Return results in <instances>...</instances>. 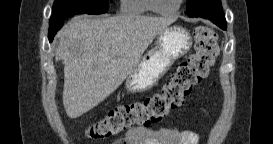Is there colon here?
<instances>
[{
	"instance_id": "5ec220e1",
	"label": "colon",
	"mask_w": 273,
	"mask_h": 144,
	"mask_svg": "<svg viewBox=\"0 0 273 144\" xmlns=\"http://www.w3.org/2000/svg\"><path fill=\"white\" fill-rule=\"evenodd\" d=\"M194 39V53L180 62L159 92L113 108L88 127L87 135L106 139L134 128H147L180 107L191 89L208 75L218 55L217 35L211 28H196Z\"/></svg>"
}]
</instances>
